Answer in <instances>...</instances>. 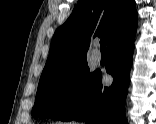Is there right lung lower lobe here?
Returning a JSON list of instances; mask_svg holds the SVG:
<instances>
[{
  "label": "right lung lower lobe",
  "instance_id": "1",
  "mask_svg": "<svg viewBox=\"0 0 156 124\" xmlns=\"http://www.w3.org/2000/svg\"><path fill=\"white\" fill-rule=\"evenodd\" d=\"M135 33L136 27L114 40L108 47L111 61L106 66V71L114 78L112 85L102 86V75L99 71L81 102L67 112L61 121L127 124L124 105L130 81Z\"/></svg>",
  "mask_w": 156,
  "mask_h": 124
}]
</instances>
